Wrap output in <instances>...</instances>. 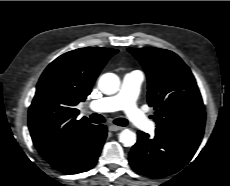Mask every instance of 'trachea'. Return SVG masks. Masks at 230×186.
Here are the masks:
<instances>
[{"instance_id":"1","label":"trachea","mask_w":230,"mask_h":186,"mask_svg":"<svg viewBox=\"0 0 230 186\" xmlns=\"http://www.w3.org/2000/svg\"><path fill=\"white\" fill-rule=\"evenodd\" d=\"M91 121L93 123H104L105 122V118L97 113H94L92 115H90ZM114 123L118 126H126L128 125V120H126L125 118H117L114 120Z\"/></svg>"}]
</instances>
